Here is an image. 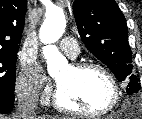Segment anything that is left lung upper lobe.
Returning a JSON list of instances; mask_svg holds the SVG:
<instances>
[{"instance_id": "left-lung-upper-lobe-1", "label": "left lung upper lobe", "mask_w": 142, "mask_h": 119, "mask_svg": "<svg viewBox=\"0 0 142 119\" xmlns=\"http://www.w3.org/2000/svg\"><path fill=\"white\" fill-rule=\"evenodd\" d=\"M73 13L79 34L87 49L122 82L127 93L140 90L132 74V52L128 44L125 17L114 0H75Z\"/></svg>"}]
</instances>
